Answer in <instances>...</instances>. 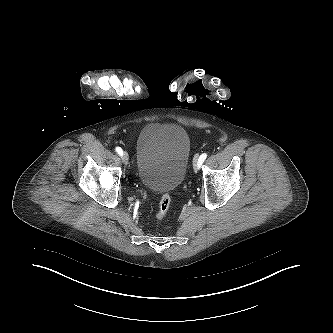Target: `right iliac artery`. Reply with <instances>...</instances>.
I'll use <instances>...</instances> for the list:
<instances>
[{"label":"right iliac artery","instance_id":"1","mask_svg":"<svg viewBox=\"0 0 333 333\" xmlns=\"http://www.w3.org/2000/svg\"><path fill=\"white\" fill-rule=\"evenodd\" d=\"M115 150L119 154V156L123 155V150L120 147H116Z\"/></svg>","mask_w":333,"mask_h":333}]
</instances>
